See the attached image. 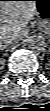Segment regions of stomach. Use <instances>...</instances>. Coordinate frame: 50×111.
Wrapping results in <instances>:
<instances>
[{
  "label": "stomach",
  "instance_id": "1",
  "mask_svg": "<svg viewBox=\"0 0 50 111\" xmlns=\"http://www.w3.org/2000/svg\"><path fill=\"white\" fill-rule=\"evenodd\" d=\"M36 16L45 25L50 23V0H36Z\"/></svg>",
  "mask_w": 50,
  "mask_h": 111
}]
</instances>
